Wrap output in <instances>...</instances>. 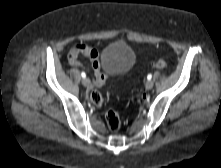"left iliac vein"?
<instances>
[{
  "label": "left iliac vein",
  "mask_w": 221,
  "mask_h": 168,
  "mask_svg": "<svg viewBox=\"0 0 221 168\" xmlns=\"http://www.w3.org/2000/svg\"><path fill=\"white\" fill-rule=\"evenodd\" d=\"M153 85H154L153 81L148 80V81L145 83V88H146L147 90H150V89L153 88Z\"/></svg>",
  "instance_id": "4c4485c4"
}]
</instances>
